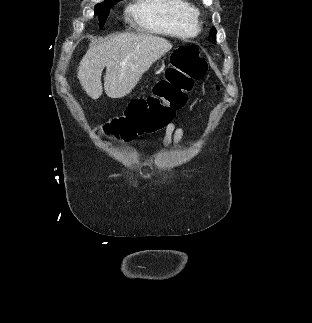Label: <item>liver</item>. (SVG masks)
<instances>
[{
	"label": "liver",
	"instance_id": "6515ba94",
	"mask_svg": "<svg viewBox=\"0 0 312 323\" xmlns=\"http://www.w3.org/2000/svg\"><path fill=\"white\" fill-rule=\"evenodd\" d=\"M172 44L153 34H117L105 38L83 56L77 72L83 90L92 100L100 98L103 88L109 98H124L137 86L143 74Z\"/></svg>",
	"mask_w": 312,
	"mask_h": 323
}]
</instances>
